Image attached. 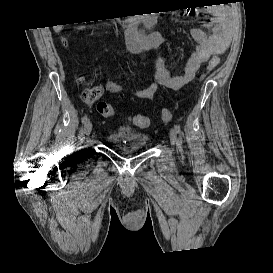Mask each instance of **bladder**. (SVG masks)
Masks as SVG:
<instances>
[{
	"label": "bladder",
	"instance_id": "1",
	"mask_svg": "<svg viewBox=\"0 0 273 273\" xmlns=\"http://www.w3.org/2000/svg\"><path fill=\"white\" fill-rule=\"evenodd\" d=\"M107 141L117 153L131 154L146 147L148 135L134 130L129 125H121L108 134Z\"/></svg>",
	"mask_w": 273,
	"mask_h": 273
}]
</instances>
